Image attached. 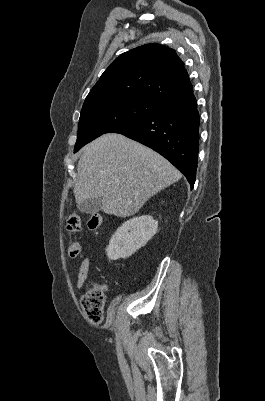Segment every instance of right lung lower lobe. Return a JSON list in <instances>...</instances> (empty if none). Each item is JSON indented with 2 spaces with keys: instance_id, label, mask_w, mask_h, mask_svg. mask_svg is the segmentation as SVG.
<instances>
[{
  "instance_id": "1",
  "label": "right lung lower lobe",
  "mask_w": 265,
  "mask_h": 401,
  "mask_svg": "<svg viewBox=\"0 0 265 401\" xmlns=\"http://www.w3.org/2000/svg\"><path fill=\"white\" fill-rule=\"evenodd\" d=\"M200 117L193 90L166 100L154 113L114 130L138 141L169 160L194 187Z\"/></svg>"
}]
</instances>
